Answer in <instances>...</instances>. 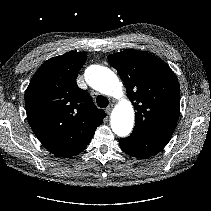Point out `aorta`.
I'll return each instance as SVG.
<instances>
[{"instance_id":"obj_1","label":"aorta","mask_w":211,"mask_h":211,"mask_svg":"<svg viewBox=\"0 0 211 211\" xmlns=\"http://www.w3.org/2000/svg\"><path fill=\"white\" fill-rule=\"evenodd\" d=\"M87 83L95 90L117 97L122 93V84L109 68L92 65L85 71ZM134 124V109L129 100H122L111 114V128L119 137L128 136Z\"/></svg>"}]
</instances>
